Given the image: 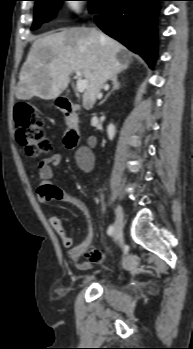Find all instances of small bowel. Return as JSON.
<instances>
[{
    "label": "small bowel",
    "mask_w": 193,
    "mask_h": 349,
    "mask_svg": "<svg viewBox=\"0 0 193 349\" xmlns=\"http://www.w3.org/2000/svg\"><path fill=\"white\" fill-rule=\"evenodd\" d=\"M62 161L60 154H53L42 160L38 166L40 183L37 189L38 201L40 203H49L53 201L66 202L78 210L86 214L88 212L87 204L78 196L68 192L65 189L57 187L53 183L54 168ZM79 167L89 172L94 166V157L90 152H82L77 158ZM49 223L57 233L62 245L68 248V256L82 270L92 267V262L104 260L103 254L88 247L87 241H83L77 245H73V239L63 226L60 218L55 215H49ZM85 255L88 260H81V256Z\"/></svg>",
    "instance_id": "c3829d8e"
}]
</instances>
